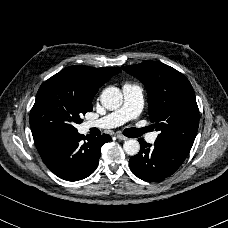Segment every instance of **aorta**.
I'll return each instance as SVG.
<instances>
[{"label":"aorta","instance_id":"1","mask_svg":"<svg viewBox=\"0 0 228 228\" xmlns=\"http://www.w3.org/2000/svg\"><path fill=\"white\" fill-rule=\"evenodd\" d=\"M102 105L108 110H116L122 105L123 95L119 88H105L100 97ZM124 151L128 155H136L140 150V144L136 139H129L123 145Z\"/></svg>","mask_w":228,"mask_h":228}]
</instances>
